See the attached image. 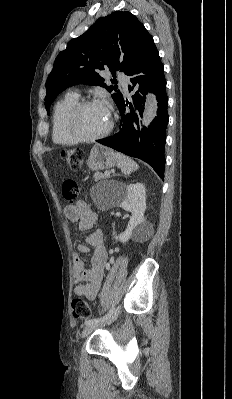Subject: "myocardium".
Returning a JSON list of instances; mask_svg holds the SVG:
<instances>
[{"label": "myocardium", "mask_w": 232, "mask_h": 399, "mask_svg": "<svg viewBox=\"0 0 232 399\" xmlns=\"http://www.w3.org/2000/svg\"><path fill=\"white\" fill-rule=\"evenodd\" d=\"M100 102L95 99L78 101L68 112L65 119V128L68 135L79 143H95L107 138L114 129V120L111 118L109 126L105 132L95 137H84L80 135L75 128V119L78 113L85 107L99 104Z\"/></svg>", "instance_id": "1"}]
</instances>
